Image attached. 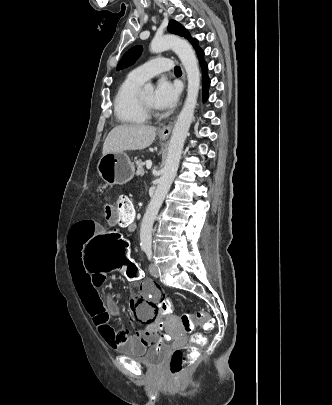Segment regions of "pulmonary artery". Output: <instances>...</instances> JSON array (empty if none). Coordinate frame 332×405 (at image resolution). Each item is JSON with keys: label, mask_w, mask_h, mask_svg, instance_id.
Returning a JSON list of instances; mask_svg holds the SVG:
<instances>
[{"label": "pulmonary artery", "mask_w": 332, "mask_h": 405, "mask_svg": "<svg viewBox=\"0 0 332 405\" xmlns=\"http://www.w3.org/2000/svg\"><path fill=\"white\" fill-rule=\"evenodd\" d=\"M172 68V62L168 58H155L149 62L135 68L129 73V78L138 82L144 83L151 77L161 73L170 71Z\"/></svg>", "instance_id": "obj_1"}]
</instances>
